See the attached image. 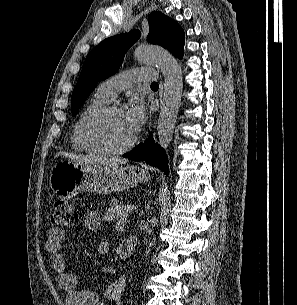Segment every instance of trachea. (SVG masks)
<instances>
[{
  "label": "trachea",
  "instance_id": "3493384b",
  "mask_svg": "<svg viewBox=\"0 0 297 305\" xmlns=\"http://www.w3.org/2000/svg\"><path fill=\"white\" fill-rule=\"evenodd\" d=\"M151 87H159V84H158L157 82H153V83L151 84Z\"/></svg>",
  "mask_w": 297,
  "mask_h": 305
}]
</instances>
